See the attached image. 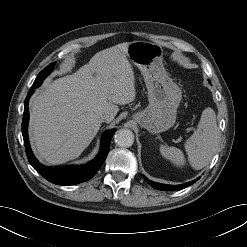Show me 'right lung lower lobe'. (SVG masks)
<instances>
[{
  "label": "right lung lower lobe",
  "mask_w": 247,
  "mask_h": 247,
  "mask_svg": "<svg viewBox=\"0 0 247 247\" xmlns=\"http://www.w3.org/2000/svg\"><path fill=\"white\" fill-rule=\"evenodd\" d=\"M38 85H32V88L27 94L25 99V107L22 121V134L24 139V145L26 149L27 158L34 169L39 172L48 181L58 185H74L82 183L91 179L95 173L100 169L105 161L109 149L110 142L115 129L104 133L101 141V149L98 155L89 163L81 166H64V167H47L39 163V161L33 155L28 139V121L29 110L28 103L30 96L34 93V90Z\"/></svg>",
  "instance_id": "98d812e1"
}]
</instances>
